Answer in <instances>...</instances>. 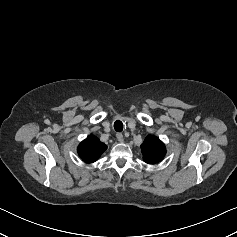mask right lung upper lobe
<instances>
[{
	"instance_id": "right-lung-upper-lobe-1",
	"label": "right lung upper lobe",
	"mask_w": 237,
	"mask_h": 237,
	"mask_svg": "<svg viewBox=\"0 0 237 237\" xmlns=\"http://www.w3.org/2000/svg\"><path fill=\"white\" fill-rule=\"evenodd\" d=\"M106 149L107 146L91 134L79 144L77 152L84 162L93 163Z\"/></svg>"
}]
</instances>
